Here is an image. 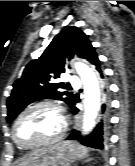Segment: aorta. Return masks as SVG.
Here are the masks:
<instances>
[{"mask_svg": "<svg viewBox=\"0 0 135 166\" xmlns=\"http://www.w3.org/2000/svg\"><path fill=\"white\" fill-rule=\"evenodd\" d=\"M75 69L84 85L83 132H90L100 110V88L95 72L84 63H75Z\"/></svg>", "mask_w": 135, "mask_h": 166, "instance_id": "1", "label": "aorta"}]
</instances>
